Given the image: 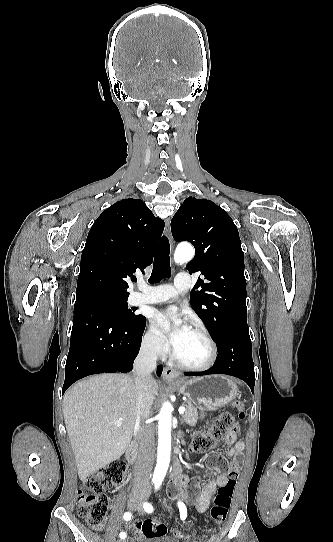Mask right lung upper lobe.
Segmentation results:
<instances>
[{
	"mask_svg": "<svg viewBox=\"0 0 333 542\" xmlns=\"http://www.w3.org/2000/svg\"><path fill=\"white\" fill-rule=\"evenodd\" d=\"M163 229L164 221L155 217L139 199L118 201L101 213L82 252L76 301L92 293L128 298L125 279L137 269L143 272L153 262ZM96 250L106 252V258L93 259Z\"/></svg>",
	"mask_w": 333,
	"mask_h": 542,
	"instance_id": "right-lung-upper-lobe-1",
	"label": "right lung upper lobe"
}]
</instances>
